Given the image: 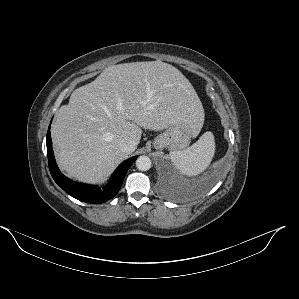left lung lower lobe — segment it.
Instances as JSON below:
<instances>
[{"mask_svg": "<svg viewBox=\"0 0 299 299\" xmlns=\"http://www.w3.org/2000/svg\"><path fill=\"white\" fill-rule=\"evenodd\" d=\"M214 179H215V177H214V175H211V174H209V175H207L203 180H202V182L199 184V189H206L207 187H209L212 183H213V181H214Z\"/></svg>", "mask_w": 299, "mask_h": 299, "instance_id": "1", "label": "left lung lower lobe"}]
</instances>
